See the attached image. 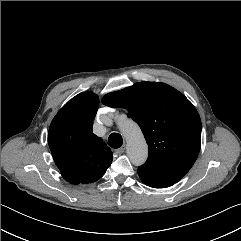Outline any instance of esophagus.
<instances>
[{"mask_svg":"<svg viewBox=\"0 0 241 241\" xmlns=\"http://www.w3.org/2000/svg\"><path fill=\"white\" fill-rule=\"evenodd\" d=\"M125 148L126 147H125V144H124L122 147L116 149L115 153L120 155V154H122L125 151Z\"/></svg>","mask_w":241,"mask_h":241,"instance_id":"esophagus-1","label":"esophagus"}]
</instances>
